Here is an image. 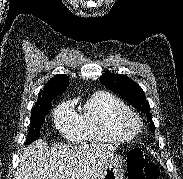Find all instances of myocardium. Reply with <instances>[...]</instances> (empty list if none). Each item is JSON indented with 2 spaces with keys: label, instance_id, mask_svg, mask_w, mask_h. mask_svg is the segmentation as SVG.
<instances>
[{
  "label": "myocardium",
  "instance_id": "myocardium-1",
  "mask_svg": "<svg viewBox=\"0 0 183 179\" xmlns=\"http://www.w3.org/2000/svg\"><path fill=\"white\" fill-rule=\"evenodd\" d=\"M119 126L122 130L135 135L141 131L143 125L139 115L129 110L120 117Z\"/></svg>",
  "mask_w": 183,
  "mask_h": 179
}]
</instances>
